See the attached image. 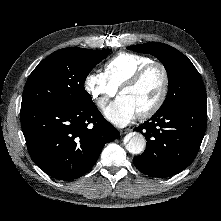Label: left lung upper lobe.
Masks as SVG:
<instances>
[{"mask_svg":"<svg viewBox=\"0 0 221 221\" xmlns=\"http://www.w3.org/2000/svg\"><path fill=\"white\" fill-rule=\"evenodd\" d=\"M127 48L154 55L164 65L169 89L160 109L172 105H206L202 78L192 62L180 51L163 43H144Z\"/></svg>","mask_w":221,"mask_h":221,"instance_id":"1","label":"left lung upper lobe"}]
</instances>
